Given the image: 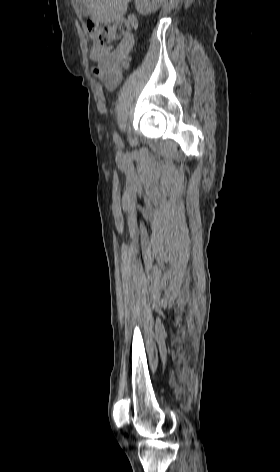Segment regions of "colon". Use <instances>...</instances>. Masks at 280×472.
<instances>
[{
    "mask_svg": "<svg viewBox=\"0 0 280 472\" xmlns=\"http://www.w3.org/2000/svg\"><path fill=\"white\" fill-rule=\"evenodd\" d=\"M87 28L94 46L107 47L115 38L126 36L130 32L131 23L129 21H119L112 25L101 26L90 21Z\"/></svg>",
    "mask_w": 280,
    "mask_h": 472,
    "instance_id": "obj_1",
    "label": "colon"
}]
</instances>
